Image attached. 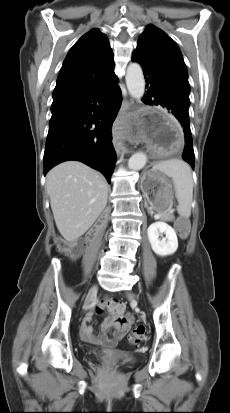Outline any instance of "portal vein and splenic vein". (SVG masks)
Returning a JSON list of instances; mask_svg holds the SVG:
<instances>
[{"label":"portal vein and splenic vein","instance_id":"portal-vein-and-splenic-vein-1","mask_svg":"<svg viewBox=\"0 0 230 413\" xmlns=\"http://www.w3.org/2000/svg\"><path fill=\"white\" fill-rule=\"evenodd\" d=\"M174 210L172 209L171 212H173ZM160 216H157V218H159Z\"/></svg>","mask_w":230,"mask_h":413}]
</instances>
